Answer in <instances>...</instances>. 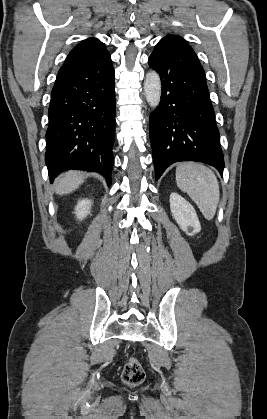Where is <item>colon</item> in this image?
I'll return each instance as SVG.
<instances>
[{"label": "colon", "mask_w": 267, "mask_h": 419, "mask_svg": "<svg viewBox=\"0 0 267 419\" xmlns=\"http://www.w3.org/2000/svg\"><path fill=\"white\" fill-rule=\"evenodd\" d=\"M145 379V371L141 363L135 358L130 357L122 370V380L129 386H137Z\"/></svg>", "instance_id": "5ec220e1"}]
</instances>
